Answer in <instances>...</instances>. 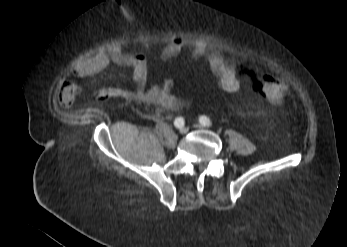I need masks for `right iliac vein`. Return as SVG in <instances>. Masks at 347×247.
<instances>
[{
  "label": "right iliac vein",
  "instance_id": "right-iliac-vein-1",
  "mask_svg": "<svg viewBox=\"0 0 347 247\" xmlns=\"http://www.w3.org/2000/svg\"><path fill=\"white\" fill-rule=\"evenodd\" d=\"M179 132H180L181 134H186V133H187V129H186L185 127H181V128L179 129Z\"/></svg>",
  "mask_w": 347,
  "mask_h": 247
}]
</instances>
